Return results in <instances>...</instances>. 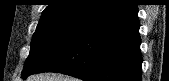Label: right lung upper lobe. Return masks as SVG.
Segmentation results:
<instances>
[{
	"instance_id": "obj_1",
	"label": "right lung upper lobe",
	"mask_w": 169,
	"mask_h": 81,
	"mask_svg": "<svg viewBox=\"0 0 169 81\" xmlns=\"http://www.w3.org/2000/svg\"><path fill=\"white\" fill-rule=\"evenodd\" d=\"M127 0H50L41 19L59 16H77L91 20Z\"/></svg>"
}]
</instances>
